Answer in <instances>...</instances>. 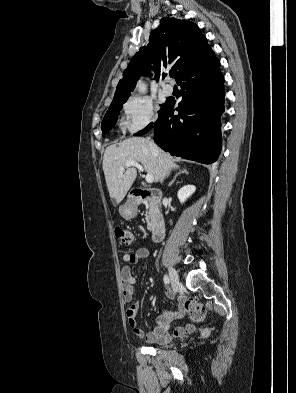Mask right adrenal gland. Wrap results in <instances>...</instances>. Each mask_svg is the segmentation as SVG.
Returning <instances> with one entry per match:
<instances>
[{
	"instance_id": "1",
	"label": "right adrenal gland",
	"mask_w": 296,
	"mask_h": 393,
	"mask_svg": "<svg viewBox=\"0 0 296 393\" xmlns=\"http://www.w3.org/2000/svg\"><path fill=\"white\" fill-rule=\"evenodd\" d=\"M181 174L188 175V171H187L186 169H184V168H183L182 170H180V172L177 173V174L173 177V179L170 181V183L168 184V186H172V185L175 183L177 177H178L179 175H181Z\"/></svg>"
}]
</instances>
